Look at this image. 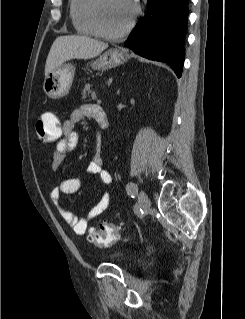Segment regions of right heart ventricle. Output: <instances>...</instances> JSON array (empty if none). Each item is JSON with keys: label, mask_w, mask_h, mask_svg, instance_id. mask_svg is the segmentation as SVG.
<instances>
[{"label": "right heart ventricle", "mask_w": 245, "mask_h": 319, "mask_svg": "<svg viewBox=\"0 0 245 319\" xmlns=\"http://www.w3.org/2000/svg\"><path fill=\"white\" fill-rule=\"evenodd\" d=\"M93 0H70L69 15L74 29L82 35L95 36L90 7Z\"/></svg>", "instance_id": "e07e8e85"}]
</instances>
